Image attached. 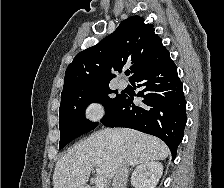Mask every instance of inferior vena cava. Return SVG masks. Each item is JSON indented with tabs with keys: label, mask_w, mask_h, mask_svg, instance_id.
Instances as JSON below:
<instances>
[{
	"label": "inferior vena cava",
	"mask_w": 224,
	"mask_h": 188,
	"mask_svg": "<svg viewBox=\"0 0 224 188\" xmlns=\"http://www.w3.org/2000/svg\"><path fill=\"white\" fill-rule=\"evenodd\" d=\"M128 173V164L122 161L116 169L112 188H126Z\"/></svg>",
	"instance_id": "1"
}]
</instances>
